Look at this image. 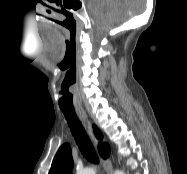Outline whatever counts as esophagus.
I'll return each mask as SVG.
<instances>
[{
  "label": "esophagus",
  "mask_w": 187,
  "mask_h": 174,
  "mask_svg": "<svg viewBox=\"0 0 187 174\" xmlns=\"http://www.w3.org/2000/svg\"><path fill=\"white\" fill-rule=\"evenodd\" d=\"M76 113L78 118L80 119L83 127L85 128L86 132L88 133L89 137L91 138L95 148L98 151V144L99 139L95 136L92 124L90 120L88 119V116L83 108H76ZM100 161L104 167V170L106 171V174H112V163L109 158H103L99 155Z\"/></svg>",
  "instance_id": "34e87169"
}]
</instances>
